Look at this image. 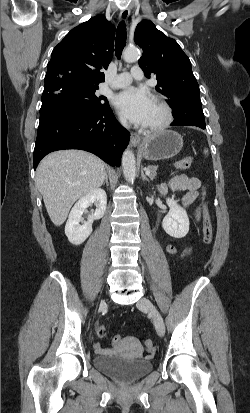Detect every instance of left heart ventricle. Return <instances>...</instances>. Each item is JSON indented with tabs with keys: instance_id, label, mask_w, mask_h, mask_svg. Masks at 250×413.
Masks as SVG:
<instances>
[{
	"instance_id": "b2bd125f",
	"label": "left heart ventricle",
	"mask_w": 250,
	"mask_h": 413,
	"mask_svg": "<svg viewBox=\"0 0 250 413\" xmlns=\"http://www.w3.org/2000/svg\"><path fill=\"white\" fill-rule=\"evenodd\" d=\"M162 118H163L162 110L159 108V106H157L153 102L151 110H150L148 122L146 125L151 126V125L158 124L159 122H161Z\"/></svg>"
}]
</instances>
